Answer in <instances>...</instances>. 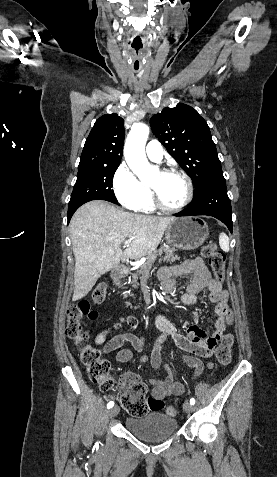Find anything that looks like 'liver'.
<instances>
[{
  "label": "liver",
  "mask_w": 277,
  "mask_h": 477,
  "mask_svg": "<svg viewBox=\"0 0 277 477\" xmlns=\"http://www.w3.org/2000/svg\"><path fill=\"white\" fill-rule=\"evenodd\" d=\"M175 217H155L125 212L106 201L82 205L70 221L75 257L73 301L85 297L98 278L115 269L120 261L151 254L160 244ZM133 238L122 251L121 244Z\"/></svg>",
  "instance_id": "1"
}]
</instances>
